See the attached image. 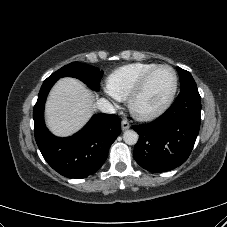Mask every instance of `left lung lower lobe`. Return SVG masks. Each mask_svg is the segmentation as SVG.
<instances>
[{
  "label": "left lung lower lobe",
  "mask_w": 227,
  "mask_h": 227,
  "mask_svg": "<svg viewBox=\"0 0 227 227\" xmlns=\"http://www.w3.org/2000/svg\"><path fill=\"white\" fill-rule=\"evenodd\" d=\"M201 98L196 85L180 90L173 105L151 123L133 126L139 140L133 156L144 169L160 173L183 164L196 141Z\"/></svg>",
  "instance_id": "obj_1"
}]
</instances>
